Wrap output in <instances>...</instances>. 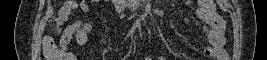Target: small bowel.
I'll use <instances>...</instances> for the list:
<instances>
[{"label":"small bowel","instance_id":"1","mask_svg":"<svg viewBox=\"0 0 267 60\" xmlns=\"http://www.w3.org/2000/svg\"><path fill=\"white\" fill-rule=\"evenodd\" d=\"M96 1H85L81 4L70 1L61 8V16L55 22V26H59L74 10L80 8L83 12H87ZM196 16L205 24L202 29L207 42L202 43L204 54L216 60H227V53L224 49L225 37L224 31L226 27L225 20L216 12L215 2L212 0L198 1ZM92 25L90 22L76 21L68 25L60 38V43L63 47H67L74 39L77 45L83 46L86 44L88 35L91 32ZM145 60H152L151 57H145ZM163 60V57L159 58Z\"/></svg>","mask_w":267,"mask_h":60}]
</instances>
